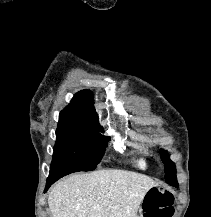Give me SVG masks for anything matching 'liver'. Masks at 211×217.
<instances>
[{"instance_id": "obj_1", "label": "liver", "mask_w": 211, "mask_h": 217, "mask_svg": "<svg viewBox=\"0 0 211 217\" xmlns=\"http://www.w3.org/2000/svg\"><path fill=\"white\" fill-rule=\"evenodd\" d=\"M157 183L125 170H98L75 174L51 190L52 217H137L146 193Z\"/></svg>"}]
</instances>
